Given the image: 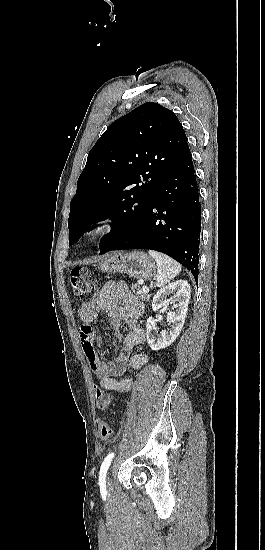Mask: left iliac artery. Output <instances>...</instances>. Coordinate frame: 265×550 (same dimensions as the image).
Returning a JSON list of instances; mask_svg holds the SVG:
<instances>
[{"instance_id":"left-iliac-artery-1","label":"left iliac artery","mask_w":265,"mask_h":550,"mask_svg":"<svg viewBox=\"0 0 265 550\" xmlns=\"http://www.w3.org/2000/svg\"><path fill=\"white\" fill-rule=\"evenodd\" d=\"M114 457V452H111L107 455V457L104 459L102 465H101V468H100V473H99V482L101 484H105V478H106V473L108 471V468L111 464V461Z\"/></svg>"}]
</instances>
